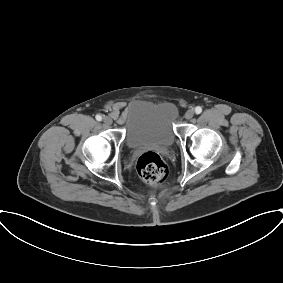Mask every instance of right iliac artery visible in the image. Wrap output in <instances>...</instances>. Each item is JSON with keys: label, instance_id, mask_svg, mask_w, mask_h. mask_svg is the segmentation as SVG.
Instances as JSON below:
<instances>
[{"label": "right iliac artery", "instance_id": "right-iliac-artery-1", "mask_svg": "<svg viewBox=\"0 0 283 283\" xmlns=\"http://www.w3.org/2000/svg\"><path fill=\"white\" fill-rule=\"evenodd\" d=\"M95 118H96L97 121H101L102 120V116L101 115H96Z\"/></svg>", "mask_w": 283, "mask_h": 283}]
</instances>
